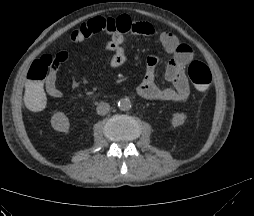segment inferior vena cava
Wrapping results in <instances>:
<instances>
[{
  "instance_id": "602c4592",
  "label": "inferior vena cava",
  "mask_w": 254,
  "mask_h": 216,
  "mask_svg": "<svg viewBox=\"0 0 254 216\" xmlns=\"http://www.w3.org/2000/svg\"><path fill=\"white\" fill-rule=\"evenodd\" d=\"M96 110L97 114L106 115L110 111V105L108 103L101 102L98 104Z\"/></svg>"
}]
</instances>
